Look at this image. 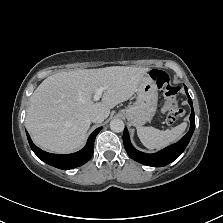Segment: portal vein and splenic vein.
I'll use <instances>...</instances> for the list:
<instances>
[{
    "label": "portal vein and splenic vein",
    "mask_w": 223,
    "mask_h": 223,
    "mask_svg": "<svg viewBox=\"0 0 223 223\" xmlns=\"http://www.w3.org/2000/svg\"><path fill=\"white\" fill-rule=\"evenodd\" d=\"M104 90H106V87H99V88H97L96 91H95V94L93 96V100L94 101L100 100Z\"/></svg>",
    "instance_id": "18ae733b"
}]
</instances>
